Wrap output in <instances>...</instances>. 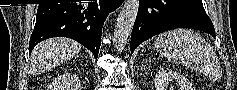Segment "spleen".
<instances>
[{
  "mask_svg": "<svg viewBox=\"0 0 237 90\" xmlns=\"http://www.w3.org/2000/svg\"><path fill=\"white\" fill-rule=\"evenodd\" d=\"M155 48L167 60L198 70L206 76L217 70L219 60L213 48L193 30L163 32L157 38Z\"/></svg>",
  "mask_w": 237,
  "mask_h": 90,
  "instance_id": "obj_1",
  "label": "spleen"
}]
</instances>
